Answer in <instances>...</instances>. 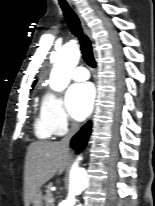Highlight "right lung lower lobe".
Instances as JSON below:
<instances>
[{
  "mask_svg": "<svg viewBox=\"0 0 155 206\" xmlns=\"http://www.w3.org/2000/svg\"><path fill=\"white\" fill-rule=\"evenodd\" d=\"M91 133V122L85 124L81 130L72 138L71 145L78 152L85 147Z\"/></svg>",
  "mask_w": 155,
  "mask_h": 206,
  "instance_id": "1",
  "label": "right lung lower lobe"
}]
</instances>
